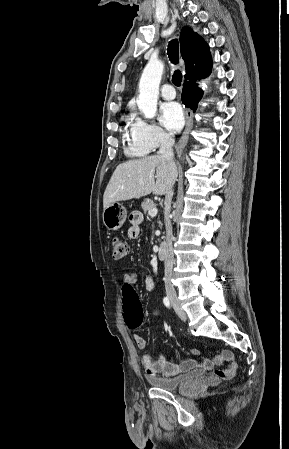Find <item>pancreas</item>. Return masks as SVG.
<instances>
[{
    "label": "pancreas",
    "instance_id": "obj_1",
    "mask_svg": "<svg viewBox=\"0 0 289 449\" xmlns=\"http://www.w3.org/2000/svg\"><path fill=\"white\" fill-rule=\"evenodd\" d=\"M141 207H142V209H143L145 214H149L148 213L149 210L155 208V203L151 199H144V201L141 204ZM161 225H162V223L159 222V226H161Z\"/></svg>",
    "mask_w": 289,
    "mask_h": 449
}]
</instances>
